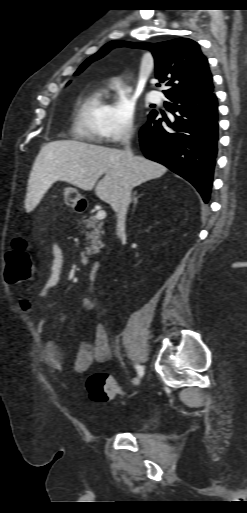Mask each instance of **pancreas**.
Masks as SVG:
<instances>
[{
    "label": "pancreas",
    "mask_w": 247,
    "mask_h": 513,
    "mask_svg": "<svg viewBox=\"0 0 247 513\" xmlns=\"http://www.w3.org/2000/svg\"><path fill=\"white\" fill-rule=\"evenodd\" d=\"M79 226L81 229H87L86 232L87 240H90L89 246L86 247V254L92 255L99 252V249L103 247L101 236L104 234L102 230L103 224L98 222L95 216L84 215L79 220Z\"/></svg>",
    "instance_id": "1"
}]
</instances>
